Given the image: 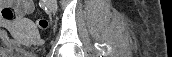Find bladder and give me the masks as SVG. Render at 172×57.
Returning a JSON list of instances; mask_svg holds the SVG:
<instances>
[{"label":"bladder","mask_w":172,"mask_h":57,"mask_svg":"<svg viewBox=\"0 0 172 57\" xmlns=\"http://www.w3.org/2000/svg\"><path fill=\"white\" fill-rule=\"evenodd\" d=\"M0 57H25L20 53H16V54H9V53H2L0 54Z\"/></svg>","instance_id":"obj_1"}]
</instances>
